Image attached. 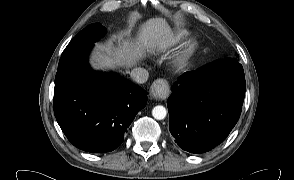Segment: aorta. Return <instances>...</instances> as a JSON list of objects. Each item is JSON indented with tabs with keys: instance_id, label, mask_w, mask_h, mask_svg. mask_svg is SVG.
Returning <instances> with one entry per match:
<instances>
[{
	"instance_id": "1",
	"label": "aorta",
	"mask_w": 294,
	"mask_h": 180,
	"mask_svg": "<svg viewBox=\"0 0 294 180\" xmlns=\"http://www.w3.org/2000/svg\"><path fill=\"white\" fill-rule=\"evenodd\" d=\"M167 115V110L164 106L157 105L152 110V116L157 120H163Z\"/></svg>"
}]
</instances>
